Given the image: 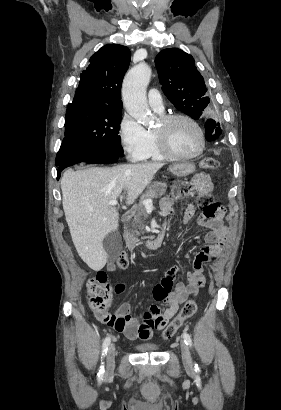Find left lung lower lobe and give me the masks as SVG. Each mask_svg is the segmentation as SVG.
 Instances as JSON below:
<instances>
[{
    "instance_id": "0a47b994",
    "label": "left lung lower lobe",
    "mask_w": 281,
    "mask_h": 410,
    "mask_svg": "<svg viewBox=\"0 0 281 410\" xmlns=\"http://www.w3.org/2000/svg\"><path fill=\"white\" fill-rule=\"evenodd\" d=\"M219 124H216V122L213 119H208L205 123V136L208 141L215 140L218 138V136H215L214 133L219 130L218 128Z\"/></svg>"
}]
</instances>
